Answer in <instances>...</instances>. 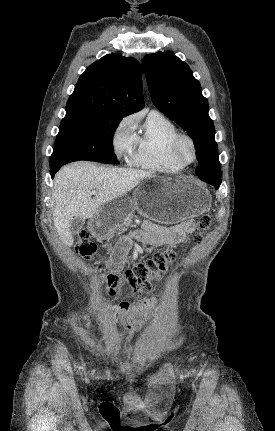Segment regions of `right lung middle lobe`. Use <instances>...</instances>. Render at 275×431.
<instances>
[{"label":"right lung middle lobe","instance_id":"right-lung-middle-lobe-1","mask_svg":"<svg viewBox=\"0 0 275 431\" xmlns=\"http://www.w3.org/2000/svg\"><path fill=\"white\" fill-rule=\"evenodd\" d=\"M122 117L107 114H78L63 118L50 166L78 160L107 164L117 162L113 135Z\"/></svg>","mask_w":275,"mask_h":431}]
</instances>
